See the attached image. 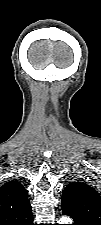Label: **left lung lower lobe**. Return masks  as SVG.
<instances>
[{
    "instance_id": "0a47b994",
    "label": "left lung lower lobe",
    "mask_w": 101,
    "mask_h": 225,
    "mask_svg": "<svg viewBox=\"0 0 101 225\" xmlns=\"http://www.w3.org/2000/svg\"><path fill=\"white\" fill-rule=\"evenodd\" d=\"M73 222L74 223L72 225H98L97 223L79 218H73Z\"/></svg>"
}]
</instances>
